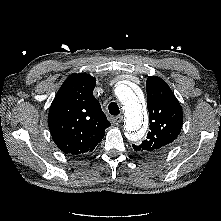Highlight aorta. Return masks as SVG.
Here are the masks:
<instances>
[{
	"label": "aorta",
	"instance_id": "762f6f07",
	"mask_svg": "<svg viewBox=\"0 0 221 221\" xmlns=\"http://www.w3.org/2000/svg\"><path fill=\"white\" fill-rule=\"evenodd\" d=\"M116 95L124 111V129L127 137L132 141L140 140L148 125V114L145 106L127 85L119 86Z\"/></svg>",
	"mask_w": 221,
	"mask_h": 221
}]
</instances>
